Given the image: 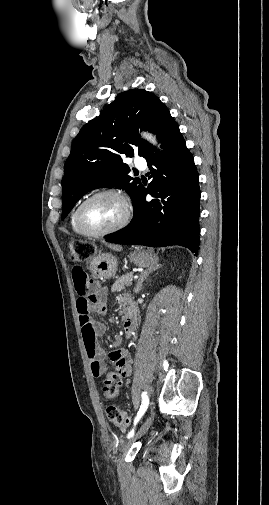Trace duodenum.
Instances as JSON below:
<instances>
[{
  "label": "duodenum",
  "mask_w": 269,
  "mask_h": 505,
  "mask_svg": "<svg viewBox=\"0 0 269 505\" xmlns=\"http://www.w3.org/2000/svg\"><path fill=\"white\" fill-rule=\"evenodd\" d=\"M123 311H124V316H123L124 331H125L126 337H130L136 329L137 315H136L133 304L129 300L124 302Z\"/></svg>",
  "instance_id": "obj_1"
}]
</instances>
